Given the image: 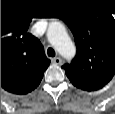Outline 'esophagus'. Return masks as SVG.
<instances>
[{"mask_svg": "<svg viewBox=\"0 0 115 114\" xmlns=\"http://www.w3.org/2000/svg\"><path fill=\"white\" fill-rule=\"evenodd\" d=\"M62 59L60 57H55L52 59V63L57 64V65H61L62 64Z\"/></svg>", "mask_w": 115, "mask_h": 114, "instance_id": "esophagus-1", "label": "esophagus"}]
</instances>
